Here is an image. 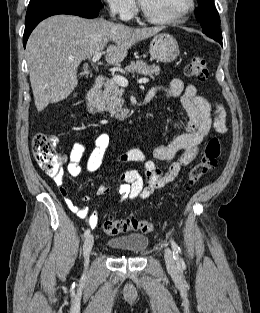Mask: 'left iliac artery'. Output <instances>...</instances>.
I'll return each mask as SVG.
<instances>
[{
  "mask_svg": "<svg viewBox=\"0 0 260 313\" xmlns=\"http://www.w3.org/2000/svg\"><path fill=\"white\" fill-rule=\"evenodd\" d=\"M171 246L173 249V258L178 261L179 260V254H181V249L180 247L176 244V242L171 239Z\"/></svg>",
  "mask_w": 260,
  "mask_h": 313,
  "instance_id": "44dca946",
  "label": "left iliac artery"
}]
</instances>
